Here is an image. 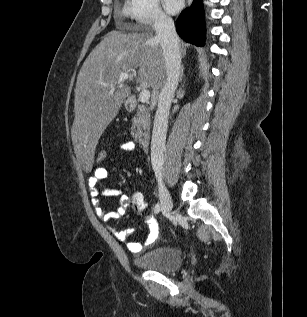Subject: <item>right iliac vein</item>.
<instances>
[{
	"mask_svg": "<svg viewBox=\"0 0 307 317\" xmlns=\"http://www.w3.org/2000/svg\"><path fill=\"white\" fill-rule=\"evenodd\" d=\"M158 186H159V197L161 201V206L164 213L167 214L172 209V198L161 178L158 179Z\"/></svg>",
	"mask_w": 307,
	"mask_h": 317,
	"instance_id": "63e3f726",
	"label": "right iliac vein"
}]
</instances>
